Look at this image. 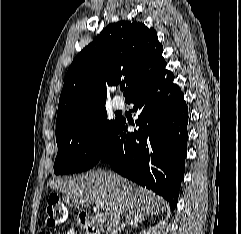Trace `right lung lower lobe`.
Returning <instances> with one entry per match:
<instances>
[{"mask_svg":"<svg viewBox=\"0 0 241 234\" xmlns=\"http://www.w3.org/2000/svg\"><path fill=\"white\" fill-rule=\"evenodd\" d=\"M164 67L126 101L138 115L133 133L119 118L99 162L164 197L172 210L178 202L187 155L188 108L174 75Z\"/></svg>","mask_w":241,"mask_h":234,"instance_id":"obj_1","label":"right lung lower lobe"}]
</instances>
